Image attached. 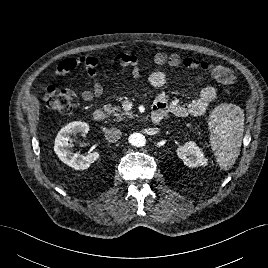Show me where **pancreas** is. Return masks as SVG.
<instances>
[{"label":"pancreas","mask_w":268,"mask_h":268,"mask_svg":"<svg viewBox=\"0 0 268 268\" xmlns=\"http://www.w3.org/2000/svg\"><path fill=\"white\" fill-rule=\"evenodd\" d=\"M104 111L107 113L108 116H113L117 120H122L125 117H132V113L127 111L120 112L121 111L120 107L118 106L112 107L110 104L104 106Z\"/></svg>","instance_id":"obj_1"}]
</instances>
